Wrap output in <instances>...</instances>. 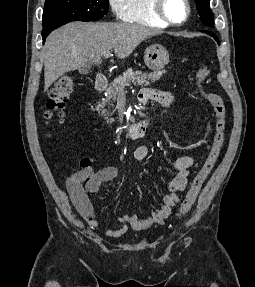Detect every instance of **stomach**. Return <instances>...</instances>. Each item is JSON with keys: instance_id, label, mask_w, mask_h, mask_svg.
<instances>
[{"instance_id": "1", "label": "stomach", "mask_w": 255, "mask_h": 287, "mask_svg": "<svg viewBox=\"0 0 255 287\" xmlns=\"http://www.w3.org/2000/svg\"><path fill=\"white\" fill-rule=\"evenodd\" d=\"M144 62L149 70L158 72V70H162L164 66L169 64L168 50L161 44H151L144 52Z\"/></svg>"}]
</instances>
